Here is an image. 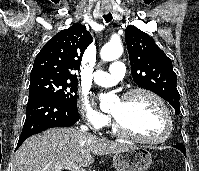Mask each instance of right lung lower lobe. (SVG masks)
<instances>
[{"label": "right lung lower lobe", "mask_w": 199, "mask_h": 171, "mask_svg": "<svg viewBox=\"0 0 199 171\" xmlns=\"http://www.w3.org/2000/svg\"><path fill=\"white\" fill-rule=\"evenodd\" d=\"M78 120L79 114L75 108L68 106L50 94L36 93L29 96L26 120L19 137L17 148L24 140L34 134L48 128L68 127L75 124Z\"/></svg>", "instance_id": "obj_1"}]
</instances>
